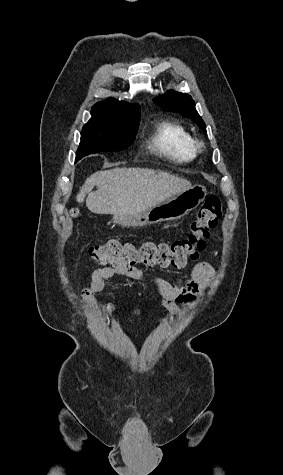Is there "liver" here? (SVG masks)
<instances>
[{
  "label": "liver",
  "instance_id": "liver-1",
  "mask_svg": "<svg viewBox=\"0 0 283 475\" xmlns=\"http://www.w3.org/2000/svg\"><path fill=\"white\" fill-rule=\"evenodd\" d=\"M97 186L96 192H92ZM192 188L191 182L148 168H114L87 178L76 202L93 214H140Z\"/></svg>",
  "mask_w": 283,
  "mask_h": 475
}]
</instances>
